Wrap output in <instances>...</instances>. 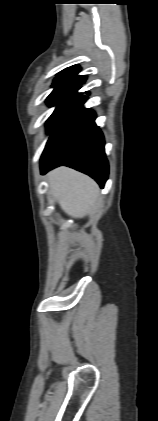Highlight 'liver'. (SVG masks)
<instances>
[{"mask_svg": "<svg viewBox=\"0 0 158 421\" xmlns=\"http://www.w3.org/2000/svg\"><path fill=\"white\" fill-rule=\"evenodd\" d=\"M52 193L61 209L68 215L82 218L92 212L99 189L88 176L66 167L48 174Z\"/></svg>", "mask_w": 158, "mask_h": 421, "instance_id": "obj_1", "label": "liver"}]
</instances>
